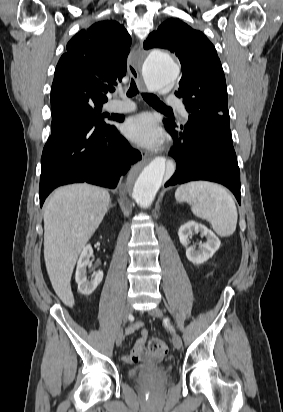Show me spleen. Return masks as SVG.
Segmentation results:
<instances>
[{
  "mask_svg": "<svg viewBox=\"0 0 283 412\" xmlns=\"http://www.w3.org/2000/svg\"><path fill=\"white\" fill-rule=\"evenodd\" d=\"M175 198L189 203L193 214L208 221L219 236H231L236 230L235 202L220 185L207 181L189 182L178 187Z\"/></svg>",
  "mask_w": 283,
  "mask_h": 412,
  "instance_id": "1",
  "label": "spleen"
}]
</instances>
